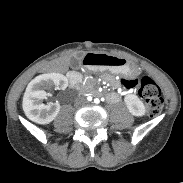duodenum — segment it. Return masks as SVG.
<instances>
[{"instance_id": "obj_1", "label": "duodenum", "mask_w": 183, "mask_h": 183, "mask_svg": "<svg viewBox=\"0 0 183 183\" xmlns=\"http://www.w3.org/2000/svg\"><path fill=\"white\" fill-rule=\"evenodd\" d=\"M83 77V74L81 71L76 70L73 73H70L68 75V79H69V84L71 87H75L77 85V83L79 82V80H81Z\"/></svg>"}]
</instances>
